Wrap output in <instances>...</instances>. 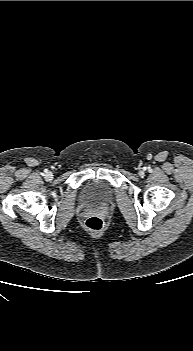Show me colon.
I'll use <instances>...</instances> for the list:
<instances>
[{
  "instance_id": "1",
  "label": "colon",
  "mask_w": 193,
  "mask_h": 351,
  "mask_svg": "<svg viewBox=\"0 0 193 351\" xmlns=\"http://www.w3.org/2000/svg\"><path fill=\"white\" fill-rule=\"evenodd\" d=\"M84 226L91 232H100L104 227V222L101 217L93 215L86 219Z\"/></svg>"
}]
</instances>
